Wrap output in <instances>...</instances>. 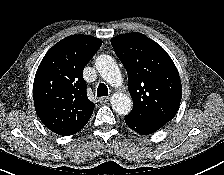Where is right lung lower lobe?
<instances>
[{
  "label": "right lung lower lobe",
  "instance_id": "right-lung-lower-lobe-1",
  "mask_svg": "<svg viewBox=\"0 0 224 175\" xmlns=\"http://www.w3.org/2000/svg\"><path fill=\"white\" fill-rule=\"evenodd\" d=\"M83 127H84V126L78 128L77 130H75V131H73V132H71V133H69V134H67V135L75 134V133H77L78 131H80ZM67 135H66V136H67Z\"/></svg>",
  "mask_w": 224,
  "mask_h": 175
}]
</instances>
